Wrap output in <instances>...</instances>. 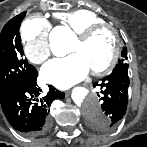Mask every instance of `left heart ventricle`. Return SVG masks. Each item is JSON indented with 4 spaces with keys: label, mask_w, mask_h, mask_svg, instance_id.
<instances>
[{
    "label": "left heart ventricle",
    "mask_w": 147,
    "mask_h": 147,
    "mask_svg": "<svg viewBox=\"0 0 147 147\" xmlns=\"http://www.w3.org/2000/svg\"><path fill=\"white\" fill-rule=\"evenodd\" d=\"M114 48L113 36L108 31L98 33L90 42L81 43L77 39L71 46V52L81 54L90 70L102 68L111 58Z\"/></svg>",
    "instance_id": "b2bd125f"
}]
</instances>
